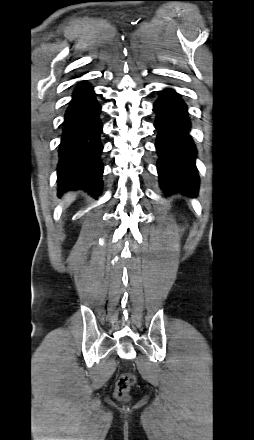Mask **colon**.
Instances as JSON below:
<instances>
[{
  "label": "colon",
  "instance_id": "1",
  "mask_svg": "<svg viewBox=\"0 0 254 440\" xmlns=\"http://www.w3.org/2000/svg\"><path fill=\"white\" fill-rule=\"evenodd\" d=\"M135 376L133 374H122L116 381L114 395L119 400L126 399L129 390L135 384Z\"/></svg>",
  "mask_w": 254,
  "mask_h": 440
}]
</instances>
